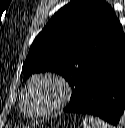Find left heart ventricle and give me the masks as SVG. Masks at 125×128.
<instances>
[{"label": "left heart ventricle", "mask_w": 125, "mask_h": 128, "mask_svg": "<svg viewBox=\"0 0 125 128\" xmlns=\"http://www.w3.org/2000/svg\"><path fill=\"white\" fill-rule=\"evenodd\" d=\"M55 99V91L52 85L37 83L26 97L28 110L36 112L49 107Z\"/></svg>", "instance_id": "left-heart-ventricle-1"}]
</instances>
